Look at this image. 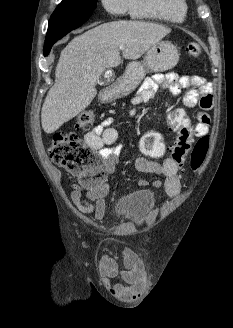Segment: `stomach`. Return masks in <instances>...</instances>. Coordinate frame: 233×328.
Returning <instances> with one entry per match:
<instances>
[{"label": "stomach", "mask_w": 233, "mask_h": 328, "mask_svg": "<svg viewBox=\"0 0 233 328\" xmlns=\"http://www.w3.org/2000/svg\"><path fill=\"white\" fill-rule=\"evenodd\" d=\"M178 61L179 53L175 45L168 41L158 42L146 52L143 62L133 61L127 65L110 98L117 99L134 91L147 71L164 72L175 67Z\"/></svg>", "instance_id": "stomach-1"}]
</instances>
